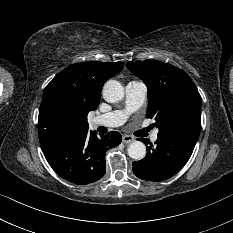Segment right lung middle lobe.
Here are the masks:
<instances>
[{"instance_id": "right-lung-middle-lobe-1", "label": "right lung middle lobe", "mask_w": 233, "mask_h": 233, "mask_svg": "<svg viewBox=\"0 0 233 233\" xmlns=\"http://www.w3.org/2000/svg\"><path fill=\"white\" fill-rule=\"evenodd\" d=\"M68 115V113L66 112V110L62 107H57L54 112H53V116L56 119H64L66 118Z\"/></svg>"}]
</instances>
